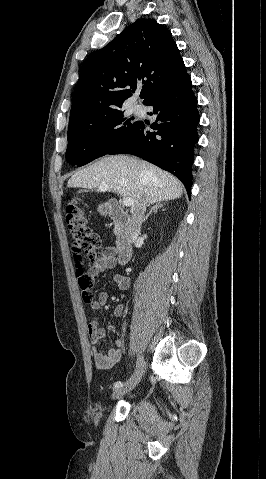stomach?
Returning a JSON list of instances; mask_svg holds the SVG:
<instances>
[{
    "mask_svg": "<svg viewBox=\"0 0 266 479\" xmlns=\"http://www.w3.org/2000/svg\"><path fill=\"white\" fill-rule=\"evenodd\" d=\"M98 211L101 214L106 215L110 211V208H109L108 205H101V206H99Z\"/></svg>",
    "mask_w": 266,
    "mask_h": 479,
    "instance_id": "obj_1",
    "label": "stomach"
}]
</instances>
